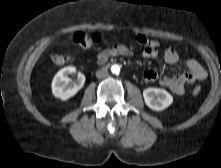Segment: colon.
Wrapping results in <instances>:
<instances>
[{"instance_id": "colon-1", "label": "colon", "mask_w": 221, "mask_h": 168, "mask_svg": "<svg viewBox=\"0 0 221 168\" xmlns=\"http://www.w3.org/2000/svg\"><path fill=\"white\" fill-rule=\"evenodd\" d=\"M73 40L76 44L87 47L90 45H93L95 43H98L101 40V34L98 32H77L73 36ZM136 41L144 46L145 48H152L156 46V42L150 38H148L145 35L138 34L136 36ZM50 59L54 64L61 65L68 61L69 57L65 54L59 53V52H52L50 54ZM201 92V88L199 86H196L193 89V94L198 95Z\"/></svg>"}]
</instances>
